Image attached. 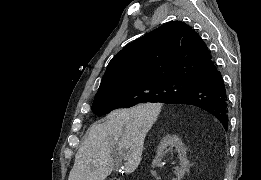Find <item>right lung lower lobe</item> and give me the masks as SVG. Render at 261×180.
<instances>
[{
	"mask_svg": "<svg viewBox=\"0 0 261 180\" xmlns=\"http://www.w3.org/2000/svg\"><path fill=\"white\" fill-rule=\"evenodd\" d=\"M166 103L200 107L214 115L225 129L228 127L226 89L222 75L217 68L200 75L191 90L168 100Z\"/></svg>",
	"mask_w": 261,
	"mask_h": 180,
	"instance_id": "98d812e1",
	"label": "right lung lower lobe"
}]
</instances>
